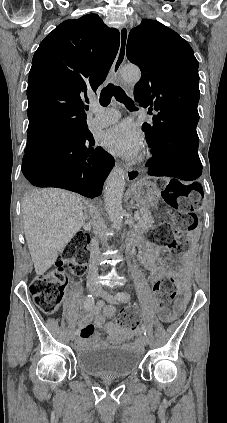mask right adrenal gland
Here are the masks:
<instances>
[{"label":"right adrenal gland","instance_id":"2a0ac1e0","mask_svg":"<svg viewBox=\"0 0 227 423\" xmlns=\"http://www.w3.org/2000/svg\"><path fill=\"white\" fill-rule=\"evenodd\" d=\"M83 208H84L85 215H87V208H85V206H83Z\"/></svg>","mask_w":227,"mask_h":423}]
</instances>
